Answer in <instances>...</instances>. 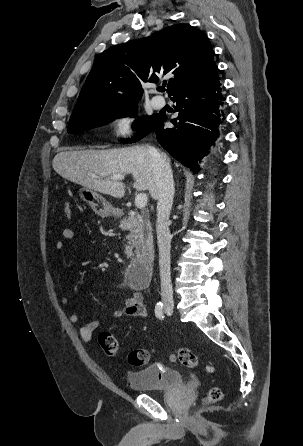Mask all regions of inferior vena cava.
Returning <instances> with one entry per match:
<instances>
[{"mask_svg":"<svg viewBox=\"0 0 303 446\" xmlns=\"http://www.w3.org/2000/svg\"><path fill=\"white\" fill-rule=\"evenodd\" d=\"M157 187V240L159 247V267L161 279V298L164 302L173 301L170 272L171 234L169 216L174 198L173 174L166 158L154 147L149 148Z\"/></svg>","mask_w":303,"mask_h":446,"instance_id":"602c4592","label":"inferior vena cava"}]
</instances>
